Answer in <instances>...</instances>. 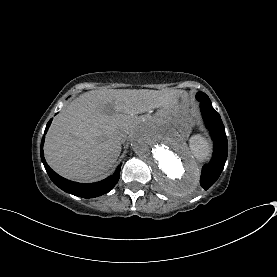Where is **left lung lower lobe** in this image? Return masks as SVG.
I'll list each match as a JSON object with an SVG mask.
<instances>
[{
	"label": "left lung lower lobe",
	"instance_id": "left-lung-lower-lobe-1",
	"mask_svg": "<svg viewBox=\"0 0 277 277\" xmlns=\"http://www.w3.org/2000/svg\"><path fill=\"white\" fill-rule=\"evenodd\" d=\"M201 112L214 141V152L211 161L203 166L200 184L207 190L220 176L228 155V143L225 128L219 113L211 104L200 102Z\"/></svg>",
	"mask_w": 277,
	"mask_h": 277
}]
</instances>
